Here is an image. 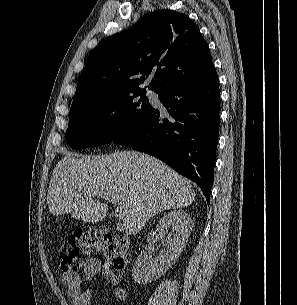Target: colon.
<instances>
[{
	"instance_id": "colon-1",
	"label": "colon",
	"mask_w": 297,
	"mask_h": 305,
	"mask_svg": "<svg viewBox=\"0 0 297 305\" xmlns=\"http://www.w3.org/2000/svg\"><path fill=\"white\" fill-rule=\"evenodd\" d=\"M93 252L104 255L108 267L116 274L123 273L129 262L124 240L98 228H89L68 237L60 252L63 271H74L87 262Z\"/></svg>"
}]
</instances>
